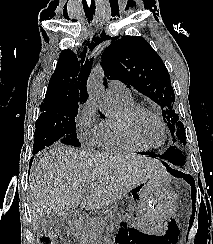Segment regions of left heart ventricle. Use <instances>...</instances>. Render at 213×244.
Returning a JSON list of instances; mask_svg holds the SVG:
<instances>
[{"label":"left heart ventricle","instance_id":"b2bd125f","mask_svg":"<svg viewBox=\"0 0 213 244\" xmlns=\"http://www.w3.org/2000/svg\"><path fill=\"white\" fill-rule=\"evenodd\" d=\"M136 135L145 143L156 145L163 138V130L158 121L149 114L142 113L133 121Z\"/></svg>","mask_w":213,"mask_h":244}]
</instances>
